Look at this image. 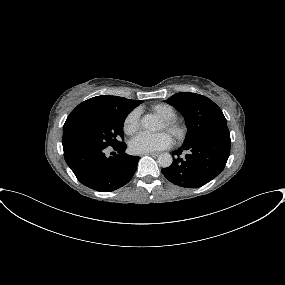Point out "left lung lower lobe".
Instances as JSON below:
<instances>
[{
    "instance_id": "left-lung-lower-lobe-1",
    "label": "left lung lower lobe",
    "mask_w": 285,
    "mask_h": 285,
    "mask_svg": "<svg viewBox=\"0 0 285 285\" xmlns=\"http://www.w3.org/2000/svg\"><path fill=\"white\" fill-rule=\"evenodd\" d=\"M230 144V138L221 136L196 138L174 151L173 163L161 171L173 184L184 188L201 187L222 172L230 155ZM185 150L191 153L181 158Z\"/></svg>"
}]
</instances>
